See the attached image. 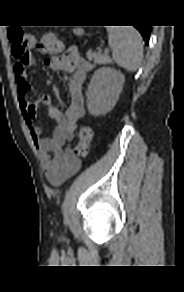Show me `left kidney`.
<instances>
[{"mask_svg":"<svg viewBox=\"0 0 184 292\" xmlns=\"http://www.w3.org/2000/svg\"><path fill=\"white\" fill-rule=\"evenodd\" d=\"M124 75L113 68L102 67L94 72L87 90V108L91 115H105L118 101Z\"/></svg>","mask_w":184,"mask_h":292,"instance_id":"1","label":"left kidney"}]
</instances>
